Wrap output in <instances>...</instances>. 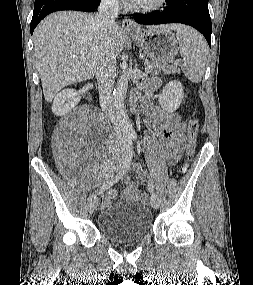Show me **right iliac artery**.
Returning a JSON list of instances; mask_svg holds the SVG:
<instances>
[{"instance_id": "1", "label": "right iliac artery", "mask_w": 253, "mask_h": 285, "mask_svg": "<svg viewBox=\"0 0 253 285\" xmlns=\"http://www.w3.org/2000/svg\"><path fill=\"white\" fill-rule=\"evenodd\" d=\"M125 157L122 162V166L119 168L118 173L111 178L107 183L99 188L98 193H103L106 189L113 186L119 179L125 174V172L130 168L132 155H133V146L132 139L130 137H125Z\"/></svg>"}]
</instances>
